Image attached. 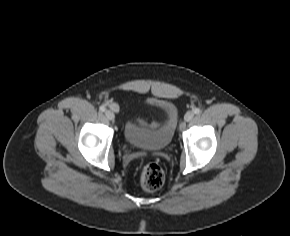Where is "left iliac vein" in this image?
<instances>
[{"label":"left iliac vein","mask_w":290,"mask_h":236,"mask_svg":"<svg viewBox=\"0 0 290 236\" xmlns=\"http://www.w3.org/2000/svg\"><path fill=\"white\" fill-rule=\"evenodd\" d=\"M194 117V113L192 111H188L185 116H184V119L185 121L189 122L193 119Z\"/></svg>","instance_id":"4c4485c4"}]
</instances>
